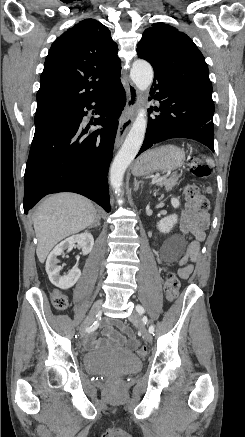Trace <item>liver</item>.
I'll return each mask as SVG.
<instances>
[{"instance_id":"1","label":"liver","mask_w":245,"mask_h":437,"mask_svg":"<svg viewBox=\"0 0 245 437\" xmlns=\"http://www.w3.org/2000/svg\"><path fill=\"white\" fill-rule=\"evenodd\" d=\"M96 217L94 205L80 195L60 193L44 199L32 216L39 261L43 263L58 242L86 229Z\"/></svg>"}]
</instances>
